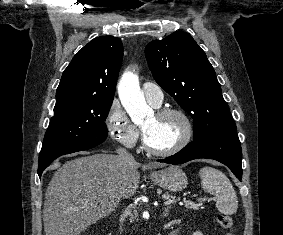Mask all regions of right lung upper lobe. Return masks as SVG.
Returning <instances> with one entry per match:
<instances>
[{
  "label": "right lung upper lobe",
  "instance_id": "right-lung-upper-lobe-1",
  "mask_svg": "<svg viewBox=\"0 0 283 235\" xmlns=\"http://www.w3.org/2000/svg\"><path fill=\"white\" fill-rule=\"evenodd\" d=\"M122 58L123 44L119 38L93 39L64 70L56 102L74 97L113 99Z\"/></svg>",
  "mask_w": 283,
  "mask_h": 235
}]
</instances>
